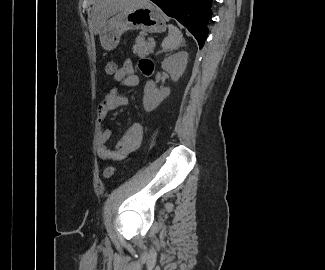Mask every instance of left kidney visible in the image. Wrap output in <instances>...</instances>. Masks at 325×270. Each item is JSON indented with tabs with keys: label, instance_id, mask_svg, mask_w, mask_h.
I'll return each instance as SVG.
<instances>
[{
	"label": "left kidney",
	"instance_id": "5707ae66",
	"mask_svg": "<svg viewBox=\"0 0 325 270\" xmlns=\"http://www.w3.org/2000/svg\"><path fill=\"white\" fill-rule=\"evenodd\" d=\"M188 62V53L181 51L165 58L161 64L168 72L172 81H178L184 73ZM170 94V88L157 89L153 81H148L144 87L143 106L146 112L153 111Z\"/></svg>",
	"mask_w": 325,
	"mask_h": 270
}]
</instances>
